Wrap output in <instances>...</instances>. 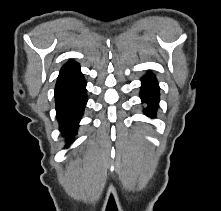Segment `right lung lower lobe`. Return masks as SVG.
I'll use <instances>...</instances> for the list:
<instances>
[{"instance_id":"1","label":"right lung lower lobe","mask_w":221,"mask_h":211,"mask_svg":"<svg viewBox=\"0 0 221 211\" xmlns=\"http://www.w3.org/2000/svg\"><path fill=\"white\" fill-rule=\"evenodd\" d=\"M56 118L68 147L74 141L86 103V81L80 67L61 71L55 86Z\"/></svg>"}]
</instances>
